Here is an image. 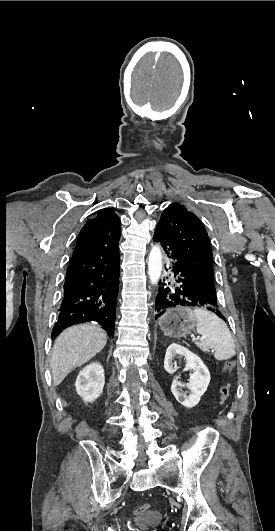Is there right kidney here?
<instances>
[{
  "mask_svg": "<svg viewBox=\"0 0 275 531\" xmlns=\"http://www.w3.org/2000/svg\"><path fill=\"white\" fill-rule=\"evenodd\" d=\"M105 385L104 369L100 363H90L80 371L75 387L85 403H92L103 393Z\"/></svg>",
  "mask_w": 275,
  "mask_h": 531,
  "instance_id": "right-kidney-1",
  "label": "right kidney"
}]
</instances>
